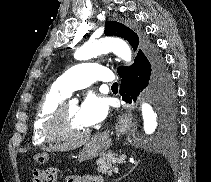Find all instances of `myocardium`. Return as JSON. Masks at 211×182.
Segmentation results:
<instances>
[{"label": "myocardium", "instance_id": "1", "mask_svg": "<svg viewBox=\"0 0 211 182\" xmlns=\"http://www.w3.org/2000/svg\"><path fill=\"white\" fill-rule=\"evenodd\" d=\"M68 103L61 102L49 117L44 133L50 140L58 141H78L85 139L90 130L86 129L79 133H69L65 129V109Z\"/></svg>", "mask_w": 211, "mask_h": 182}]
</instances>
